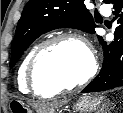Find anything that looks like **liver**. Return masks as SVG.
Instances as JSON below:
<instances>
[{"mask_svg": "<svg viewBox=\"0 0 123 113\" xmlns=\"http://www.w3.org/2000/svg\"><path fill=\"white\" fill-rule=\"evenodd\" d=\"M66 103V100L64 101H58V102H54V103H47V104H44L42 107L43 109H53L54 107H57V106H60V105H63Z\"/></svg>", "mask_w": 123, "mask_h": 113, "instance_id": "1", "label": "liver"}]
</instances>
